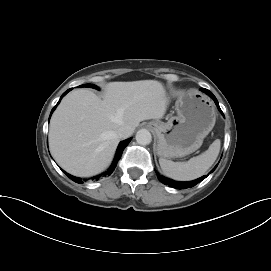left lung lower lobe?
Returning a JSON list of instances; mask_svg holds the SVG:
<instances>
[{"instance_id":"0a47b994","label":"left lung lower lobe","mask_w":271,"mask_h":271,"mask_svg":"<svg viewBox=\"0 0 271 271\" xmlns=\"http://www.w3.org/2000/svg\"><path fill=\"white\" fill-rule=\"evenodd\" d=\"M201 90L213 98V100L215 101L218 109L221 111V109L219 107V104H218V101H217L216 97L212 94V92H210L209 90L204 89V88H202ZM221 113L223 114L222 111H221ZM206 177H207V175H204V176H202V177H200V178H198L196 180H193V181L178 182V181H174V180H171V179H168V178H165L163 176L158 175V179H159L160 182H162L163 184L169 185V186H171L173 188H176V189L191 188V187L195 186L197 183H199L200 181H202L203 179H205Z\"/></svg>"}]
</instances>
